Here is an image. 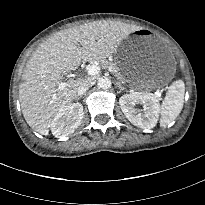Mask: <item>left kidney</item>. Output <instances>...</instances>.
I'll return each mask as SVG.
<instances>
[{
  "mask_svg": "<svg viewBox=\"0 0 205 205\" xmlns=\"http://www.w3.org/2000/svg\"><path fill=\"white\" fill-rule=\"evenodd\" d=\"M142 105L143 109L135 108ZM119 105L126 118L135 126L142 129H152L156 126L160 105L156 96L148 94H125L120 97Z\"/></svg>",
  "mask_w": 205,
  "mask_h": 205,
  "instance_id": "obj_1",
  "label": "left kidney"
}]
</instances>
